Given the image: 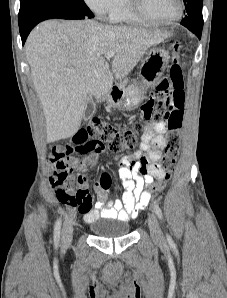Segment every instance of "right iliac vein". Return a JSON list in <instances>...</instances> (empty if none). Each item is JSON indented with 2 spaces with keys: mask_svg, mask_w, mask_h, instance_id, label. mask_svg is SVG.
<instances>
[{
  "mask_svg": "<svg viewBox=\"0 0 227 298\" xmlns=\"http://www.w3.org/2000/svg\"><path fill=\"white\" fill-rule=\"evenodd\" d=\"M73 237V225L71 221L66 220L62 229V244L64 247L70 245Z\"/></svg>",
  "mask_w": 227,
  "mask_h": 298,
  "instance_id": "63e3f726",
  "label": "right iliac vein"
}]
</instances>
